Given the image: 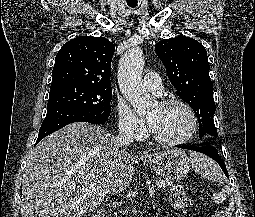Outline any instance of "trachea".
Wrapping results in <instances>:
<instances>
[{"mask_svg":"<svg viewBox=\"0 0 255 217\" xmlns=\"http://www.w3.org/2000/svg\"><path fill=\"white\" fill-rule=\"evenodd\" d=\"M128 6L131 7V8H135L137 6V4H129L128 3Z\"/></svg>","mask_w":255,"mask_h":217,"instance_id":"obj_1","label":"trachea"}]
</instances>
